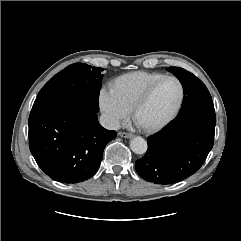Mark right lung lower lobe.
Segmentation results:
<instances>
[{
	"mask_svg": "<svg viewBox=\"0 0 241 241\" xmlns=\"http://www.w3.org/2000/svg\"><path fill=\"white\" fill-rule=\"evenodd\" d=\"M28 125L29 147L38 166L62 183L92 177L106 144L117 136L99 124L97 112L79 104L33 110Z\"/></svg>",
	"mask_w": 241,
	"mask_h": 241,
	"instance_id": "right-lung-lower-lobe-1",
	"label": "right lung lower lobe"
}]
</instances>
